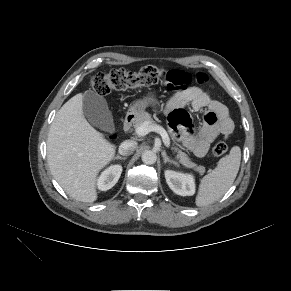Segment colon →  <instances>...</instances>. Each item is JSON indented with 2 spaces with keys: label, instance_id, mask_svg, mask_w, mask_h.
<instances>
[{
  "label": "colon",
  "instance_id": "obj_1",
  "mask_svg": "<svg viewBox=\"0 0 291 291\" xmlns=\"http://www.w3.org/2000/svg\"><path fill=\"white\" fill-rule=\"evenodd\" d=\"M160 81H165L170 88L182 87L190 83V77L164 68L145 66L137 72L117 69L109 73H98L93 76L91 86L97 94L105 96L112 91H124L137 87L151 86ZM197 81L200 84L205 83L206 76L199 74ZM227 150L226 143L217 142L212 148V154L220 157Z\"/></svg>",
  "mask_w": 291,
  "mask_h": 291
}]
</instances>
